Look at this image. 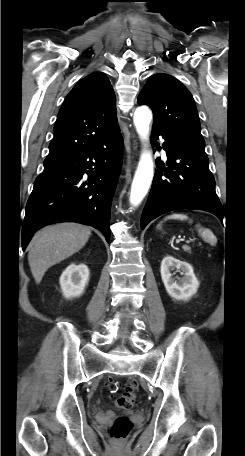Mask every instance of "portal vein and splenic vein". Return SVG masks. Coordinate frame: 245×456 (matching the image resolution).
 Masks as SVG:
<instances>
[{"mask_svg": "<svg viewBox=\"0 0 245 456\" xmlns=\"http://www.w3.org/2000/svg\"><path fill=\"white\" fill-rule=\"evenodd\" d=\"M185 243H186V244H190L191 241H190V240H185Z\"/></svg>", "mask_w": 245, "mask_h": 456, "instance_id": "18ae733b", "label": "portal vein and splenic vein"}]
</instances>
